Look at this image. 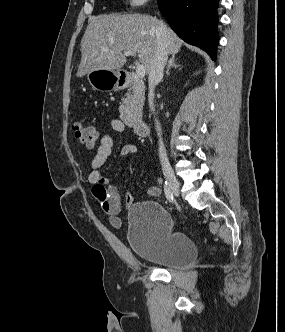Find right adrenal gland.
I'll return each instance as SVG.
<instances>
[{"instance_id":"2a0ac1e0","label":"right adrenal gland","mask_w":285,"mask_h":332,"mask_svg":"<svg viewBox=\"0 0 285 332\" xmlns=\"http://www.w3.org/2000/svg\"><path fill=\"white\" fill-rule=\"evenodd\" d=\"M175 55L176 53H173L172 54V57L170 58L169 62H168V65L166 67V74L168 75L169 74V71L171 68H176V67H179V65H177L175 63Z\"/></svg>"}]
</instances>
